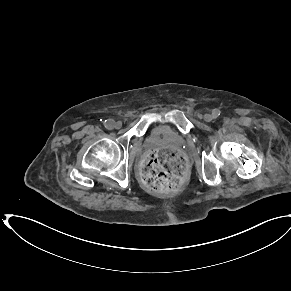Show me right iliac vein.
<instances>
[{
  "mask_svg": "<svg viewBox=\"0 0 291 291\" xmlns=\"http://www.w3.org/2000/svg\"><path fill=\"white\" fill-rule=\"evenodd\" d=\"M114 127L116 129H120L122 127V123L120 121H117V122L114 123Z\"/></svg>",
  "mask_w": 291,
  "mask_h": 291,
  "instance_id": "right-iliac-vein-1",
  "label": "right iliac vein"
}]
</instances>
